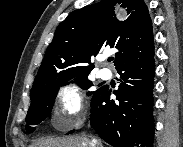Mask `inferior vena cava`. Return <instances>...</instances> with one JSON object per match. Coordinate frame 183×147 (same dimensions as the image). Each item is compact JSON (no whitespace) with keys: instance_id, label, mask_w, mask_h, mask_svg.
<instances>
[{"instance_id":"602c4592","label":"inferior vena cava","mask_w":183,"mask_h":147,"mask_svg":"<svg viewBox=\"0 0 183 147\" xmlns=\"http://www.w3.org/2000/svg\"><path fill=\"white\" fill-rule=\"evenodd\" d=\"M90 146L91 147H101V143L98 140H96L95 138H93L90 142Z\"/></svg>"}]
</instances>
